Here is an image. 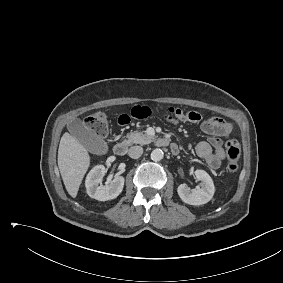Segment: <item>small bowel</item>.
I'll return each mask as SVG.
<instances>
[{
	"instance_id": "obj_1",
	"label": "small bowel",
	"mask_w": 283,
	"mask_h": 283,
	"mask_svg": "<svg viewBox=\"0 0 283 283\" xmlns=\"http://www.w3.org/2000/svg\"><path fill=\"white\" fill-rule=\"evenodd\" d=\"M152 114V110L146 106H135L129 113H122L118 118V123L125 126L130 123L131 118L143 119ZM166 118L178 123H191L199 125L200 129L209 135L206 141L197 144L196 154L205 160L211 169H218L225 158L223 150V139L228 138L232 131V126L226 120L212 116L203 119L196 111H183L179 108L170 107L166 111Z\"/></svg>"
}]
</instances>
